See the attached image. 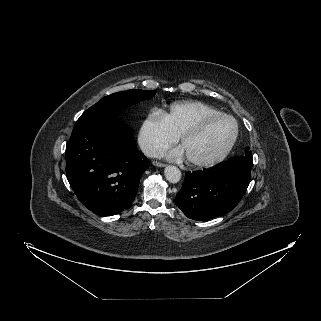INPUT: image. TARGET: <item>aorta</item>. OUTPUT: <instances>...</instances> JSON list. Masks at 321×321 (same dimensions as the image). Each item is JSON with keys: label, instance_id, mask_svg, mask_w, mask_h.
<instances>
[{"label": "aorta", "instance_id": "1", "mask_svg": "<svg viewBox=\"0 0 321 321\" xmlns=\"http://www.w3.org/2000/svg\"><path fill=\"white\" fill-rule=\"evenodd\" d=\"M164 175L170 183H178L181 179V171L172 165H168L164 170Z\"/></svg>", "mask_w": 321, "mask_h": 321}]
</instances>
